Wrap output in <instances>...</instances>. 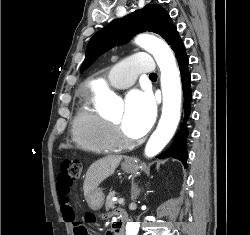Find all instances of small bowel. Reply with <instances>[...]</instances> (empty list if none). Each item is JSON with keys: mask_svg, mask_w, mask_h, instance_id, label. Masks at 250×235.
Returning a JSON list of instances; mask_svg holds the SVG:
<instances>
[{"mask_svg": "<svg viewBox=\"0 0 250 235\" xmlns=\"http://www.w3.org/2000/svg\"><path fill=\"white\" fill-rule=\"evenodd\" d=\"M61 216L66 222L74 223V213L71 205L70 192H64L57 187Z\"/></svg>", "mask_w": 250, "mask_h": 235, "instance_id": "small-bowel-1", "label": "small bowel"}]
</instances>
